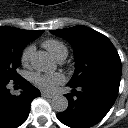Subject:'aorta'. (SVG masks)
<instances>
[{"label":"aorta","mask_w":128,"mask_h":128,"mask_svg":"<svg viewBox=\"0 0 128 128\" xmlns=\"http://www.w3.org/2000/svg\"><path fill=\"white\" fill-rule=\"evenodd\" d=\"M32 63L34 68L40 72L52 73L57 68L54 59L45 51L37 52ZM51 105L56 112H64L68 108V100L63 95H56L53 97Z\"/></svg>","instance_id":"762f6f07"}]
</instances>
